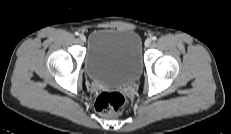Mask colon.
<instances>
[{"instance_id":"obj_1","label":"colon","mask_w":231,"mask_h":134,"mask_svg":"<svg viewBox=\"0 0 231 134\" xmlns=\"http://www.w3.org/2000/svg\"><path fill=\"white\" fill-rule=\"evenodd\" d=\"M125 96L117 91H103L95 99V108L103 116L112 117L120 114L126 107Z\"/></svg>"}]
</instances>
